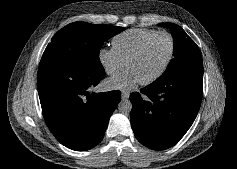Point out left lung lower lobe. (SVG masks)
Wrapping results in <instances>:
<instances>
[{
	"instance_id": "0a47b994",
	"label": "left lung lower lobe",
	"mask_w": 237,
	"mask_h": 169,
	"mask_svg": "<svg viewBox=\"0 0 237 169\" xmlns=\"http://www.w3.org/2000/svg\"><path fill=\"white\" fill-rule=\"evenodd\" d=\"M130 95L131 125L138 141L154 150L176 144L188 131L199 111L203 95V70L156 80Z\"/></svg>"
}]
</instances>
